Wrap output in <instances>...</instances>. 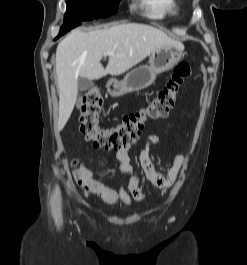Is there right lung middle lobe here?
I'll return each mask as SVG.
<instances>
[{
  "instance_id": "obj_1",
  "label": "right lung middle lobe",
  "mask_w": 247,
  "mask_h": 265,
  "mask_svg": "<svg viewBox=\"0 0 247 265\" xmlns=\"http://www.w3.org/2000/svg\"><path fill=\"white\" fill-rule=\"evenodd\" d=\"M121 0H66L64 23L89 21L117 12Z\"/></svg>"
}]
</instances>
